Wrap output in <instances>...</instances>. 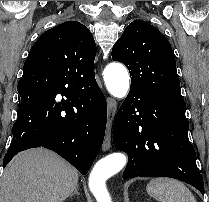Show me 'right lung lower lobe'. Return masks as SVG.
Returning <instances> with one entry per match:
<instances>
[{
  "mask_svg": "<svg viewBox=\"0 0 209 202\" xmlns=\"http://www.w3.org/2000/svg\"><path fill=\"white\" fill-rule=\"evenodd\" d=\"M17 91L21 104L3 165L23 150L45 147L86 175L102 146L107 121L106 99L97 82L77 90L38 69L23 72ZM57 94L64 96L60 102Z\"/></svg>",
  "mask_w": 209,
  "mask_h": 202,
  "instance_id": "1",
  "label": "right lung lower lobe"
}]
</instances>
